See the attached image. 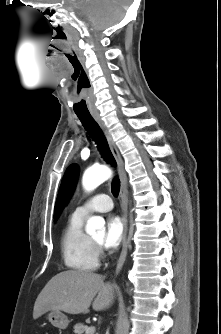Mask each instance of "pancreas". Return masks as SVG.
<instances>
[{"mask_svg": "<svg viewBox=\"0 0 221 334\" xmlns=\"http://www.w3.org/2000/svg\"><path fill=\"white\" fill-rule=\"evenodd\" d=\"M88 326L87 325H83V324H76L75 326H74V330H73V332L75 333V334H87L86 333V331L88 330ZM94 334V333H93Z\"/></svg>", "mask_w": 221, "mask_h": 334, "instance_id": "1", "label": "pancreas"}]
</instances>
